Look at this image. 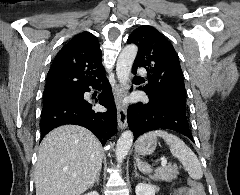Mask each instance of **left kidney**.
Segmentation results:
<instances>
[{
    "mask_svg": "<svg viewBox=\"0 0 240 195\" xmlns=\"http://www.w3.org/2000/svg\"><path fill=\"white\" fill-rule=\"evenodd\" d=\"M159 187L151 183H137L135 187L136 195H155Z\"/></svg>",
    "mask_w": 240,
    "mask_h": 195,
    "instance_id": "5707ae66",
    "label": "left kidney"
}]
</instances>
